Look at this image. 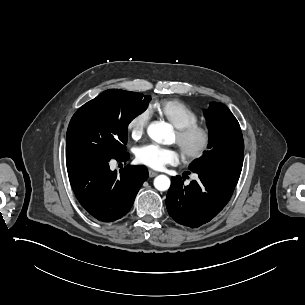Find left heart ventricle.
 Returning <instances> with one entry per match:
<instances>
[{"mask_svg":"<svg viewBox=\"0 0 305 305\" xmlns=\"http://www.w3.org/2000/svg\"><path fill=\"white\" fill-rule=\"evenodd\" d=\"M199 140L200 138L198 136L194 137L193 139L189 140L185 146L188 147V148H193L195 147L198 143H199ZM174 141H177V135L175 133V136H174Z\"/></svg>","mask_w":305,"mask_h":305,"instance_id":"obj_1","label":"left heart ventricle"}]
</instances>
